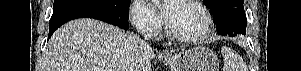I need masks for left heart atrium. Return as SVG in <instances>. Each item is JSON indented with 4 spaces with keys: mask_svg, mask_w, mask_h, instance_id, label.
Wrapping results in <instances>:
<instances>
[{
    "mask_svg": "<svg viewBox=\"0 0 301 71\" xmlns=\"http://www.w3.org/2000/svg\"><path fill=\"white\" fill-rule=\"evenodd\" d=\"M150 2L169 23L174 17L179 0H151Z\"/></svg>",
    "mask_w": 301,
    "mask_h": 71,
    "instance_id": "1",
    "label": "left heart atrium"
}]
</instances>
